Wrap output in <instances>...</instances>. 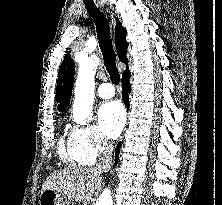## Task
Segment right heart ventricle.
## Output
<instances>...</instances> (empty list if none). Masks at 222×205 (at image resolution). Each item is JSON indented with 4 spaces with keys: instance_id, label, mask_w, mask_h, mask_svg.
I'll return each instance as SVG.
<instances>
[{
    "instance_id": "right-heart-ventricle-1",
    "label": "right heart ventricle",
    "mask_w": 222,
    "mask_h": 205,
    "mask_svg": "<svg viewBox=\"0 0 222 205\" xmlns=\"http://www.w3.org/2000/svg\"><path fill=\"white\" fill-rule=\"evenodd\" d=\"M59 155L64 162L69 165H85L80 155L73 149L69 140L67 143L63 139L59 142Z\"/></svg>"
}]
</instances>
